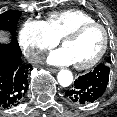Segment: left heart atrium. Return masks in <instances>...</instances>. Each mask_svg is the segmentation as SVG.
<instances>
[{
    "label": "left heart atrium",
    "instance_id": "1",
    "mask_svg": "<svg viewBox=\"0 0 117 117\" xmlns=\"http://www.w3.org/2000/svg\"><path fill=\"white\" fill-rule=\"evenodd\" d=\"M47 62L54 65H69L74 63L70 53L66 48H61L52 52L48 56Z\"/></svg>",
    "mask_w": 117,
    "mask_h": 117
}]
</instances>
